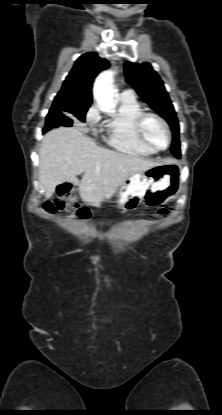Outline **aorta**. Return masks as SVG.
<instances>
[{"label": "aorta", "instance_id": "obj_1", "mask_svg": "<svg viewBox=\"0 0 222 415\" xmlns=\"http://www.w3.org/2000/svg\"><path fill=\"white\" fill-rule=\"evenodd\" d=\"M114 71L106 70L98 75L93 88V96L98 108L105 113H112L115 110L114 101Z\"/></svg>", "mask_w": 222, "mask_h": 415}]
</instances>
